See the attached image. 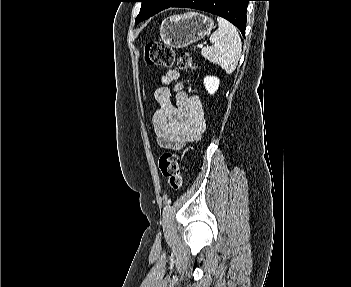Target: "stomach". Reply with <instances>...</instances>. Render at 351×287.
<instances>
[{
	"label": "stomach",
	"mask_w": 351,
	"mask_h": 287,
	"mask_svg": "<svg viewBox=\"0 0 351 287\" xmlns=\"http://www.w3.org/2000/svg\"><path fill=\"white\" fill-rule=\"evenodd\" d=\"M214 28L211 18L196 12L173 15L162 21L161 40L179 49L203 39Z\"/></svg>",
	"instance_id": "0dacf381"
}]
</instances>
